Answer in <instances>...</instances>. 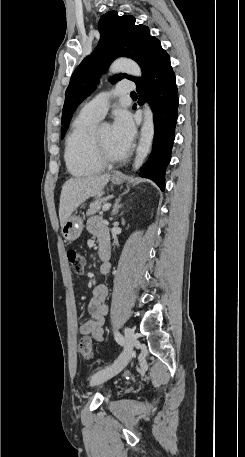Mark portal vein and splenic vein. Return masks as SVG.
I'll return each mask as SVG.
<instances>
[{
  "label": "portal vein and splenic vein",
  "mask_w": 245,
  "mask_h": 457,
  "mask_svg": "<svg viewBox=\"0 0 245 457\" xmlns=\"http://www.w3.org/2000/svg\"><path fill=\"white\" fill-rule=\"evenodd\" d=\"M110 206H111L110 202H106V204H103L102 210H108V208H110Z\"/></svg>",
  "instance_id": "portal-vein-and-splenic-vein-1"
}]
</instances>
